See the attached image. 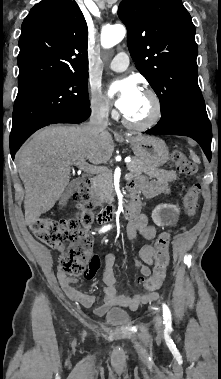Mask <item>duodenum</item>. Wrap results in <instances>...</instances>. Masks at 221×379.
I'll return each mask as SVG.
<instances>
[{"mask_svg":"<svg viewBox=\"0 0 221 379\" xmlns=\"http://www.w3.org/2000/svg\"><path fill=\"white\" fill-rule=\"evenodd\" d=\"M82 187L84 189H87L90 191L91 187V179L85 178L82 183ZM129 193L132 196V200L128 203V205L125 208V216L126 218H130L134 215H136L140 210V201L136 197V190L131 185L128 187ZM116 216V210L113 207H106L99 211V213L96 216V220L98 223H107L111 220H113Z\"/></svg>","mask_w":221,"mask_h":379,"instance_id":"obj_1","label":"duodenum"}]
</instances>
